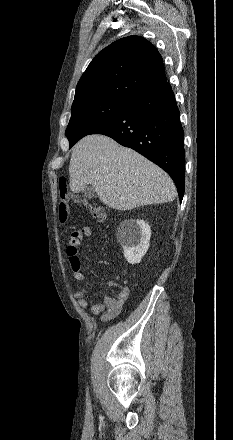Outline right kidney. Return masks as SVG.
<instances>
[{
	"instance_id": "obj_1",
	"label": "right kidney",
	"mask_w": 233,
	"mask_h": 440,
	"mask_svg": "<svg viewBox=\"0 0 233 440\" xmlns=\"http://www.w3.org/2000/svg\"><path fill=\"white\" fill-rule=\"evenodd\" d=\"M117 239L124 257L130 264H138L149 248L151 229L143 220L123 221L117 229Z\"/></svg>"
}]
</instances>
